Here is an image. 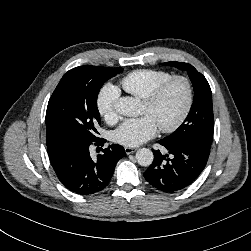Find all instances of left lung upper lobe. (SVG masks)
I'll use <instances>...</instances> for the list:
<instances>
[{
	"label": "left lung upper lobe",
	"instance_id": "obj_1",
	"mask_svg": "<svg viewBox=\"0 0 251 251\" xmlns=\"http://www.w3.org/2000/svg\"><path fill=\"white\" fill-rule=\"evenodd\" d=\"M181 70H188L194 88V100L183 124L172 134L161 139L166 144L194 140L211 147L214 132L212 93L206 78L192 65L176 61L163 63Z\"/></svg>",
	"mask_w": 251,
	"mask_h": 251
}]
</instances>
